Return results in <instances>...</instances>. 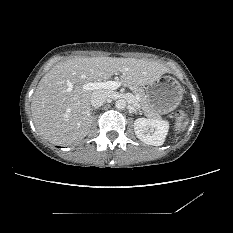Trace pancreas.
Listing matches in <instances>:
<instances>
[{
	"instance_id": "obj_1",
	"label": "pancreas",
	"mask_w": 233,
	"mask_h": 233,
	"mask_svg": "<svg viewBox=\"0 0 233 233\" xmlns=\"http://www.w3.org/2000/svg\"><path fill=\"white\" fill-rule=\"evenodd\" d=\"M123 84L125 86H127L128 88L131 89V91L135 94V95H138L139 97V100L137 101L139 107L142 109V111L144 112V114L147 116V117H150V118H160V115L159 113H157L154 109H152L147 101H146V94H145V91L137 86V85H134V84H131V83H128V82H124L122 81Z\"/></svg>"
}]
</instances>
